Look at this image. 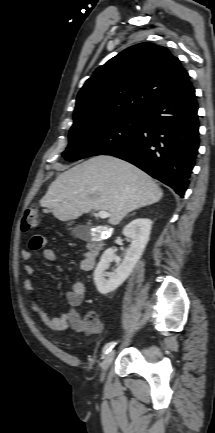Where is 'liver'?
Here are the masks:
<instances>
[{
  "instance_id": "obj_1",
  "label": "liver",
  "mask_w": 215,
  "mask_h": 433,
  "mask_svg": "<svg viewBox=\"0 0 215 433\" xmlns=\"http://www.w3.org/2000/svg\"><path fill=\"white\" fill-rule=\"evenodd\" d=\"M163 196L145 172L116 157L99 155L61 173L40 204L61 221L74 220L92 210L111 214L117 225L133 210L154 204Z\"/></svg>"
}]
</instances>
